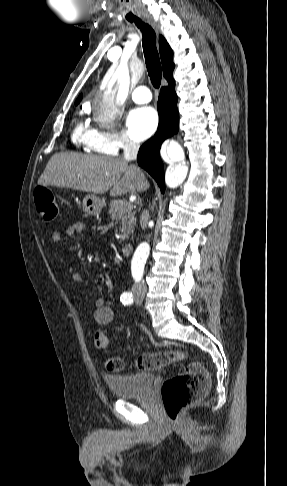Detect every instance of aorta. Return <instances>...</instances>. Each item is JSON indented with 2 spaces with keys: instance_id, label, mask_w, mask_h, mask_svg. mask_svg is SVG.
<instances>
[{
  "instance_id": "aorta-1",
  "label": "aorta",
  "mask_w": 287,
  "mask_h": 486,
  "mask_svg": "<svg viewBox=\"0 0 287 486\" xmlns=\"http://www.w3.org/2000/svg\"><path fill=\"white\" fill-rule=\"evenodd\" d=\"M130 87V74L127 64L122 61L106 87L95 98L94 115L101 123H111L121 113L123 100ZM168 155L173 159L166 173V185L176 188L183 183L188 168L184 163V152L176 141H171L167 147ZM150 246L147 242L138 245L132 259V275L138 278L143 272L144 264L149 256Z\"/></svg>"
}]
</instances>
